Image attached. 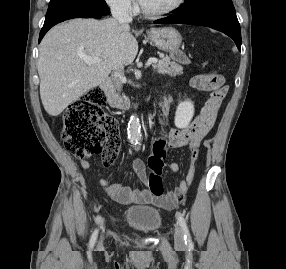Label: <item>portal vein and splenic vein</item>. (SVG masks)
<instances>
[{
  "label": "portal vein and splenic vein",
  "instance_id": "portal-vein-and-splenic-vein-1",
  "mask_svg": "<svg viewBox=\"0 0 286 269\" xmlns=\"http://www.w3.org/2000/svg\"><path fill=\"white\" fill-rule=\"evenodd\" d=\"M82 59L88 64L96 63V62L100 61V58L96 57V56L82 55ZM157 62H158V60L156 58H151L147 61L146 67L150 66L151 64H155Z\"/></svg>",
  "mask_w": 286,
  "mask_h": 269
}]
</instances>
